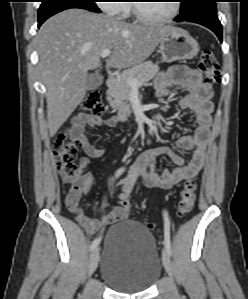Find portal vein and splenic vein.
Listing matches in <instances>:
<instances>
[{"instance_id": "obj_1", "label": "portal vein and splenic vein", "mask_w": 248, "mask_h": 299, "mask_svg": "<svg viewBox=\"0 0 248 299\" xmlns=\"http://www.w3.org/2000/svg\"><path fill=\"white\" fill-rule=\"evenodd\" d=\"M110 54H111V50H110V49H105V50H103V51L101 52L100 56H101L102 58H106V57H108ZM128 83H129V85H130L133 89H136V88L140 85V83H139L137 80H135V79H128Z\"/></svg>"}]
</instances>
